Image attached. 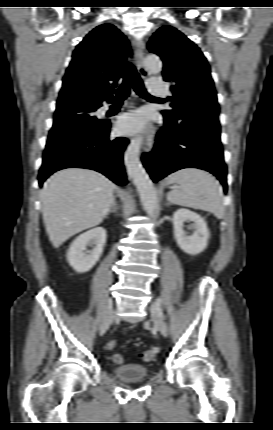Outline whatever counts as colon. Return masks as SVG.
<instances>
[{
  "instance_id": "5ec220e1",
  "label": "colon",
  "mask_w": 273,
  "mask_h": 430,
  "mask_svg": "<svg viewBox=\"0 0 273 430\" xmlns=\"http://www.w3.org/2000/svg\"><path fill=\"white\" fill-rule=\"evenodd\" d=\"M115 345H116V342L114 340H111L110 342H108L107 347L109 349H112L115 347ZM157 353H158V349L153 347V348H150V349L143 351L139 355V358L145 362L152 361L156 357ZM112 360L115 364H118V365H121L124 362L123 356L121 354H118V353H116L112 356Z\"/></svg>"
}]
</instances>
